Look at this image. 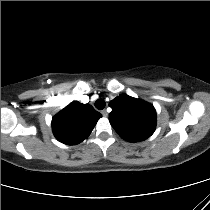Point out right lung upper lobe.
Instances as JSON below:
<instances>
[{
	"label": "right lung upper lobe",
	"mask_w": 210,
	"mask_h": 210,
	"mask_svg": "<svg viewBox=\"0 0 210 210\" xmlns=\"http://www.w3.org/2000/svg\"><path fill=\"white\" fill-rule=\"evenodd\" d=\"M100 117L91 105L71 102L53 117V133L64 144H78L89 136Z\"/></svg>",
	"instance_id": "cb5924a9"
}]
</instances>
